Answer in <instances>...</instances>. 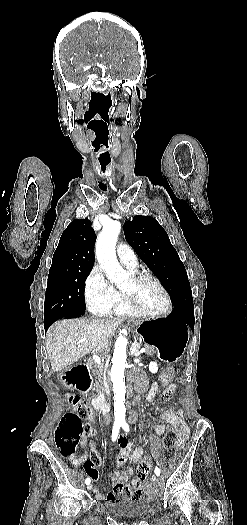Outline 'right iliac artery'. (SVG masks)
Instances as JSON below:
<instances>
[{
    "mask_svg": "<svg viewBox=\"0 0 247 525\" xmlns=\"http://www.w3.org/2000/svg\"><path fill=\"white\" fill-rule=\"evenodd\" d=\"M120 426L121 425L119 423L114 424L113 429H112V441H115L117 439ZM90 482H91L90 478H86L85 480L86 485H89Z\"/></svg>",
    "mask_w": 247,
    "mask_h": 525,
    "instance_id": "right-iliac-artery-1",
    "label": "right iliac artery"
}]
</instances>
